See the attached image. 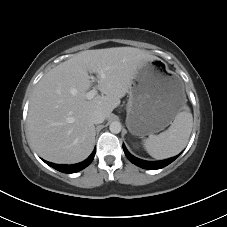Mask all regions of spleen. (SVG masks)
I'll use <instances>...</instances> for the list:
<instances>
[{
    "instance_id": "3e777b00",
    "label": "spleen",
    "mask_w": 227,
    "mask_h": 227,
    "mask_svg": "<svg viewBox=\"0 0 227 227\" xmlns=\"http://www.w3.org/2000/svg\"><path fill=\"white\" fill-rule=\"evenodd\" d=\"M183 109L166 131L143 141L146 151L153 158L166 159L175 156L187 145L193 127V117L186 105Z\"/></svg>"
}]
</instances>
